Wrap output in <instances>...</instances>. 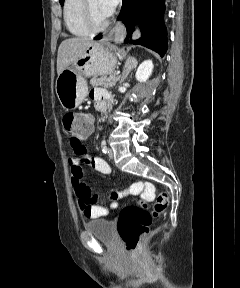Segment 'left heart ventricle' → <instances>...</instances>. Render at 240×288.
Returning a JSON list of instances; mask_svg holds the SVG:
<instances>
[{
  "label": "left heart ventricle",
  "mask_w": 240,
  "mask_h": 288,
  "mask_svg": "<svg viewBox=\"0 0 240 288\" xmlns=\"http://www.w3.org/2000/svg\"><path fill=\"white\" fill-rule=\"evenodd\" d=\"M88 3L92 13V17L97 24L103 23L107 20L108 17H106L101 11L98 0H88Z\"/></svg>",
  "instance_id": "obj_1"
}]
</instances>
